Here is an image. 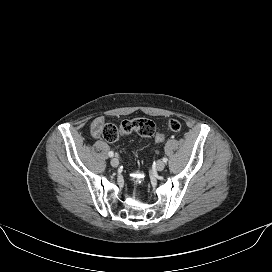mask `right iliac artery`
Wrapping results in <instances>:
<instances>
[{"label":"right iliac artery","instance_id":"1","mask_svg":"<svg viewBox=\"0 0 272 272\" xmlns=\"http://www.w3.org/2000/svg\"><path fill=\"white\" fill-rule=\"evenodd\" d=\"M108 155H109V157H113V156H114V153H113L112 151H110V152L108 153Z\"/></svg>","mask_w":272,"mask_h":272}]
</instances>
